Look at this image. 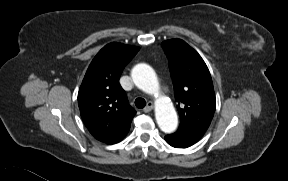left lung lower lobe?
Masks as SVG:
<instances>
[{
    "mask_svg": "<svg viewBox=\"0 0 288 181\" xmlns=\"http://www.w3.org/2000/svg\"><path fill=\"white\" fill-rule=\"evenodd\" d=\"M205 132L177 131L165 136V141L175 148H187L199 141Z\"/></svg>",
    "mask_w": 288,
    "mask_h": 181,
    "instance_id": "left-lung-lower-lobe-1",
    "label": "left lung lower lobe"
}]
</instances>
